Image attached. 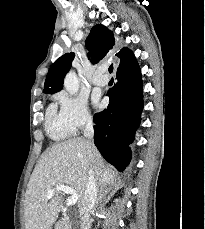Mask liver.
<instances>
[{
	"instance_id": "liver-1",
	"label": "liver",
	"mask_w": 205,
	"mask_h": 229,
	"mask_svg": "<svg viewBox=\"0 0 205 229\" xmlns=\"http://www.w3.org/2000/svg\"><path fill=\"white\" fill-rule=\"evenodd\" d=\"M93 168L99 186L115 182V170L106 165L94 144L86 139L73 138L48 148L35 166L27 185L24 216L26 229H50L62 206V195L51 199L46 194L54 186L66 184L79 195H84L88 171Z\"/></svg>"
}]
</instances>
